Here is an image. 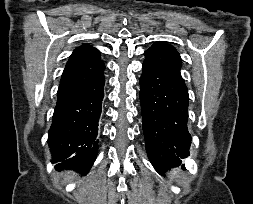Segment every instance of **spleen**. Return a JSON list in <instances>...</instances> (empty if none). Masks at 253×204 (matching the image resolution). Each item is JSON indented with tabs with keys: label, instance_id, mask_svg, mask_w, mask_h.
I'll list each match as a JSON object with an SVG mask.
<instances>
[{
	"label": "spleen",
	"instance_id": "3e777b00",
	"mask_svg": "<svg viewBox=\"0 0 253 204\" xmlns=\"http://www.w3.org/2000/svg\"><path fill=\"white\" fill-rule=\"evenodd\" d=\"M179 169H174L172 172H171V174H172V177H175V176H177L178 174H179Z\"/></svg>",
	"mask_w": 253,
	"mask_h": 204
}]
</instances>
